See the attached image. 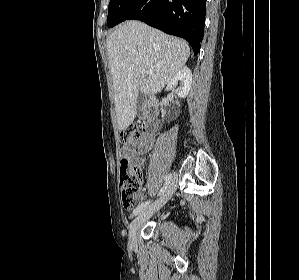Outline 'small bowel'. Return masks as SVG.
I'll return each mask as SVG.
<instances>
[{
    "instance_id": "c3829d8e",
    "label": "small bowel",
    "mask_w": 299,
    "mask_h": 280,
    "mask_svg": "<svg viewBox=\"0 0 299 280\" xmlns=\"http://www.w3.org/2000/svg\"><path fill=\"white\" fill-rule=\"evenodd\" d=\"M153 144H154V139H153L152 135H150L149 133H146L142 136V139L139 143L129 145L127 147H123V149H122L123 154L127 157H134V156L142 155V154L146 153L147 151H149L152 148ZM136 162L139 163L141 166L143 164L142 159H138V160H136ZM139 197L142 198L143 193H140Z\"/></svg>"
}]
</instances>
